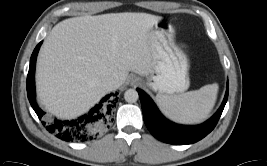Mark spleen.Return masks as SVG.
<instances>
[{"label":"spleen","mask_w":267,"mask_h":166,"mask_svg":"<svg viewBox=\"0 0 267 166\" xmlns=\"http://www.w3.org/2000/svg\"><path fill=\"white\" fill-rule=\"evenodd\" d=\"M218 94L216 83L181 95L159 94L156 99L162 112L170 119L181 123H199L213 109Z\"/></svg>","instance_id":"spleen-1"}]
</instances>
